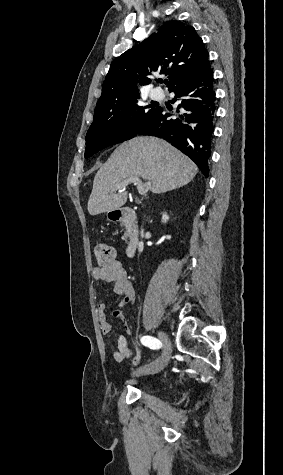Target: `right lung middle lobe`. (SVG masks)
I'll return each instance as SVG.
<instances>
[{"instance_id": "obj_1", "label": "right lung middle lobe", "mask_w": 283, "mask_h": 475, "mask_svg": "<svg viewBox=\"0 0 283 475\" xmlns=\"http://www.w3.org/2000/svg\"><path fill=\"white\" fill-rule=\"evenodd\" d=\"M136 96L131 100L94 110V120L86 134L85 158L98 151L135 137L140 129L152 119L158 107L138 105Z\"/></svg>"}]
</instances>
